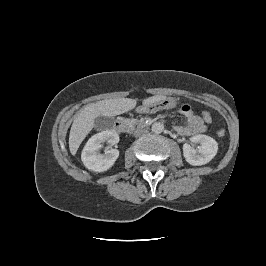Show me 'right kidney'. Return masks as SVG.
Masks as SVG:
<instances>
[{
	"mask_svg": "<svg viewBox=\"0 0 266 266\" xmlns=\"http://www.w3.org/2000/svg\"><path fill=\"white\" fill-rule=\"evenodd\" d=\"M115 145L119 142V135L111 130H105L93 135L86 143L81 160L86 168L94 172H104L110 169L119 156L117 149H106L104 154L99 152L102 143Z\"/></svg>",
	"mask_w": 266,
	"mask_h": 266,
	"instance_id": "obj_1",
	"label": "right kidney"
}]
</instances>
